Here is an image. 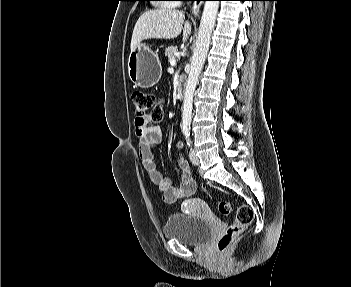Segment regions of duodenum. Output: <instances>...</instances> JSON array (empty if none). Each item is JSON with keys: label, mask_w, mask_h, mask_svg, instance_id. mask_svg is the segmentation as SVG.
Segmentation results:
<instances>
[{"label": "duodenum", "mask_w": 351, "mask_h": 287, "mask_svg": "<svg viewBox=\"0 0 351 287\" xmlns=\"http://www.w3.org/2000/svg\"><path fill=\"white\" fill-rule=\"evenodd\" d=\"M183 92H184V89H183V86L181 85L177 90V96L179 99L183 97Z\"/></svg>", "instance_id": "obj_1"}]
</instances>
